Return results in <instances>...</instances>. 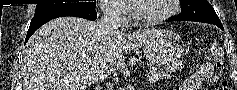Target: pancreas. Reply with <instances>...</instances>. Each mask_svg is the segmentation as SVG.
I'll return each mask as SVG.
<instances>
[{
    "mask_svg": "<svg viewBox=\"0 0 237 90\" xmlns=\"http://www.w3.org/2000/svg\"><path fill=\"white\" fill-rule=\"evenodd\" d=\"M178 66H181V62H179V64H163V67L152 68L150 74H147V76L148 78H155L158 74L159 80H166V78H171L172 72L179 70Z\"/></svg>",
    "mask_w": 237,
    "mask_h": 90,
    "instance_id": "1",
    "label": "pancreas"
}]
</instances>
